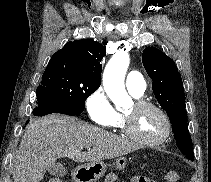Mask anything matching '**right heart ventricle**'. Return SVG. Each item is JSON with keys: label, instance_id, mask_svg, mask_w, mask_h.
<instances>
[{"label": "right heart ventricle", "instance_id": "e07e8e85", "mask_svg": "<svg viewBox=\"0 0 211 182\" xmlns=\"http://www.w3.org/2000/svg\"><path fill=\"white\" fill-rule=\"evenodd\" d=\"M132 95V94H131ZM133 97L135 98H139V97H136L134 95H132ZM116 119L114 121V123H112L110 125V127L114 128V129H117V130H120V131H124V119H123V116L122 114L116 112Z\"/></svg>", "mask_w": 211, "mask_h": 182}]
</instances>
